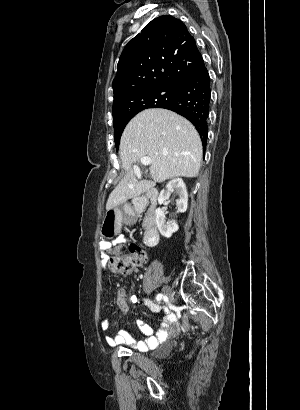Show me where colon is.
Returning a JSON list of instances; mask_svg holds the SVG:
<instances>
[{
  "label": "colon",
  "mask_w": 300,
  "mask_h": 410,
  "mask_svg": "<svg viewBox=\"0 0 300 410\" xmlns=\"http://www.w3.org/2000/svg\"><path fill=\"white\" fill-rule=\"evenodd\" d=\"M146 261L147 254L138 244H132L127 254H114L104 258V263L109 269L121 274L144 265Z\"/></svg>",
  "instance_id": "colon-1"
}]
</instances>
